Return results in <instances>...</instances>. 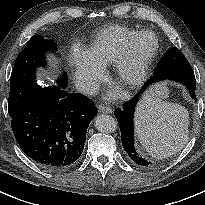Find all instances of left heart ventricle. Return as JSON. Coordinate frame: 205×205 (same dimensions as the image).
<instances>
[{"label":"left heart ventricle","instance_id":"1","mask_svg":"<svg viewBox=\"0 0 205 205\" xmlns=\"http://www.w3.org/2000/svg\"><path fill=\"white\" fill-rule=\"evenodd\" d=\"M141 46L145 49L150 48L152 46V40L150 38H146L141 42Z\"/></svg>","mask_w":205,"mask_h":205}]
</instances>
